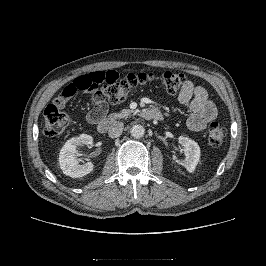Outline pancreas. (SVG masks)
Returning <instances> with one entry per match:
<instances>
[{
	"mask_svg": "<svg viewBox=\"0 0 266 266\" xmlns=\"http://www.w3.org/2000/svg\"><path fill=\"white\" fill-rule=\"evenodd\" d=\"M137 111L130 110V109H123L119 113H116L115 116L118 118H126L130 115H135Z\"/></svg>",
	"mask_w": 266,
	"mask_h": 266,
	"instance_id": "obj_1",
	"label": "pancreas"
}]
</instances>
